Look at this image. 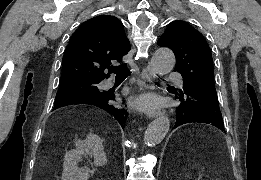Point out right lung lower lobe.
<instances>
[{
	"mask_svg": "<svg viewBox=\"0 0 261 180\" xmlns=\"http://www.w3.org/2000/svg\"><path fill=\"white\" fill-rule=\"evenodd\" d=\"M114 99H115L114 94L110 92H101V94L96 96L77 95L62 101L58 105H55L54 109L69 104H78V103L96 105L108 111L111 115H113L114 118L119 122L121 127L124 128L128 113L125 110L117 109L114 105H112L111 101Z\"/></svg>",
	"mask_w": 261,
	"mask_h": 180,
	"instance_id": "98d812e1",
	"label": "right lung lower lobe"
}]
</instances>
